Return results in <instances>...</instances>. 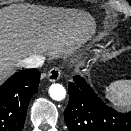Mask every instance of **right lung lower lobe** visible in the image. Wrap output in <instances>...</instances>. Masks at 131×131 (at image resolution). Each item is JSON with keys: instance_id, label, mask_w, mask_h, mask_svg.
<instances>
[{"instance_id": "98d812e1", "label": "right lung lower lobe", "mask_w": 131, "mask_h": 131, "mask_svg": "<svg viewBox=\"0 0 131 131\" xmlns=\"http://www.w3.org/2000/svg\"><path fill=\"white\" fill-rule=\"evenodd\" d=\"M39 81L40 72L29 69L12 75L0 87V131H21Z\"/></svg>"}]
</instances>
